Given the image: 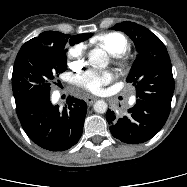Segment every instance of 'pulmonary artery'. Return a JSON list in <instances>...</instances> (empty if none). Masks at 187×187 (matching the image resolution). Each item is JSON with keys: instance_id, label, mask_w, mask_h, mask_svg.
I'll list each match as a JSON object with an SVG mask.
<instances>
[{"instance_id": "e3ab8cb5", "label": "pulmonary artery", "mask_w": 187, "mask_h": 187, "mask_svg": "<svg viewBox=\"0 0 187 187\" xmlns=\"http://www.w3.org/2000/svg\"><path fill=\"white\" fill-rule=\"evenodd\" d=\"M134 101H135V98H132V99H131V103H133Z\"/></svg>"}]
</instances>
